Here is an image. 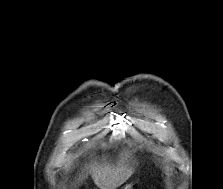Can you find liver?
Masks as SVG:
<instances>
[{
  "label": "liver",
  "instance_id": "obj_1",
  "mask_svg": "<svg viewBox=\"0 0 223 189\" xmlns=\"http://www.w3.org/2000/svg\"><path fill=\"white\" fill-rule=\"evenodd\" d=\"M126 161L127 156L121 157L116 164H111L106 160L100 163L95 161L85 167L76 182H82L90 174L95 185L100 189H116L124 184L134 172V168Z\"/></svg>",
  "mask_w": 223,
  "mask_h": 189
}]
</instances>
